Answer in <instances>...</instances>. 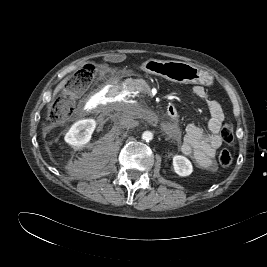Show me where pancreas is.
<instances>
[{"label": "pancreas", "instance_id": "obj_1", "mask_svg": "<svg viewBox=\"0 0 267 267\" xmlns=\"http://www.w3.org/2000/svg\"><path fill=\"white\" fill-rule=\"evenodd\" d=\"M128 87L133 90V91H140V92H144L147 91V87H146V83L144 81L141 80H131L128 83Z\"/></svg>", "mask_w": 267, "mask_h": 267}]
</instances>
